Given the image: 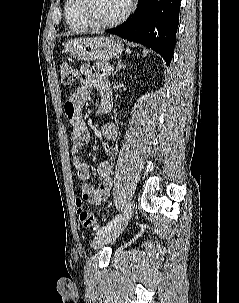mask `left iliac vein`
I'll use <instances>...</instances> for the list:
<instances>
[{
  "mask_svg": "<svg viewBox=\"0 0 239 303\" xmlns=\"http://www.w3.org/2000/svg\"><path fill=\"white\" fill-rule=\"evenodd\" d=\"M133 214V204L131 203L126 209L124 215L119 221L113 225L109 230L97 235L92 241V248L100 249L106 244L114 241L127 227Z\"/></svg>",
  "mask_w": 239,
  "mask_h": 303,
  "instance_id": "1",
  "label": "left iliac vein"
}]
</instances>
